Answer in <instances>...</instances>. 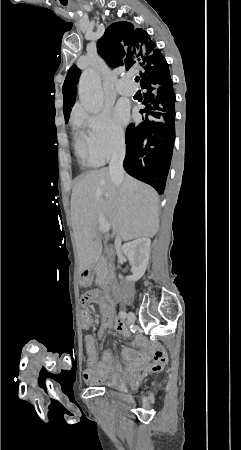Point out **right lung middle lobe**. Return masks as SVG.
<instances>
[{
    "instance_id": "dd1d6c3e",
    "label": "right lung middle lobe",
    "mask_w": 241,
    "mask_h": 450,
    "mask_svg": "<svg viewBox=\"0 0 241 450\" xmlns=\"http://www.w3.org/2000/svg\"><path fill=\"white\" fill-rule=\"evenodd\" d=\"M79 76H80V74L66 76L63 87H62V93L64 94L63 95V100H64L63 111H64L66 123L69 119L71 106L75 102V95H76L75 85L78 83Z\"/></svg>"
}]
</instances>
